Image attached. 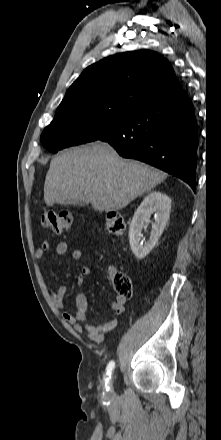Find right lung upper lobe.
Here are the masks:
<instances>
[{
	"label": "right lung upper lobe",
	"mask_w": 221,
	"mask_h": 440,
	"mask_svg": "<svg viewBox=\"0 0 221 440\" xmlns=\"http://www.w3.org/2000/svg\"><path fill=\"white\" fill-rule=\"evenodd\" d=\"M170 63L153 51L116 54L89 66L70 86L59 105L109 101L137 109L180 90Z\"/></svg>",
	"instance_id": "cb5924a9"
}]
</instances>
